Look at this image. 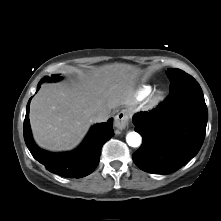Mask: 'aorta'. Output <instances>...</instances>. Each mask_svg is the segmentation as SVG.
<instances>
[{"mask_svg": "<svg viewBox=\"0 0 221 221\" xmlns=\"http://www.w3.org/2000/svg\"><path fill=\"white\" fill-rule=\"evenodd\" d=\"M126 142L131 147H138L141 145L142 138L137 132H129L126 136Z\"/></svg>", "mask_w": 221, "mask_h": 221, "instance_id": "762f6f07", "label": "aorta"}]
</instances>
